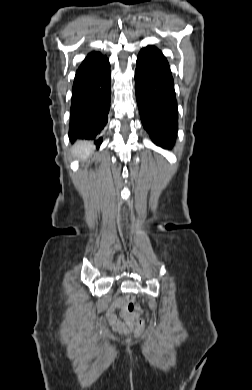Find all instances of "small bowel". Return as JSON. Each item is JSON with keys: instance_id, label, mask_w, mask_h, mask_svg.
I'll use <instances>...</instances> for the list:
<instances>
[{"instance_id": "c3829d8e", "label": "small bowel", "mask_w": 252, "mask_h": 390, "mask_svg": "<svg viewBox=\"0 0 252 390\" xmlns=\"http://www.w3.org/2000/svg\"><path fill=\"white\" fill-rule=\"evenodd\" d=\"M108 321L115 331L126 332L132 328V321L124 308V300L118 298L110 307Z\"/></svg>"}]
</instances>
